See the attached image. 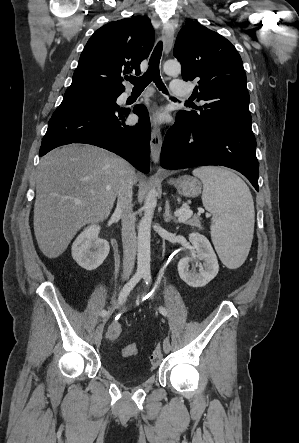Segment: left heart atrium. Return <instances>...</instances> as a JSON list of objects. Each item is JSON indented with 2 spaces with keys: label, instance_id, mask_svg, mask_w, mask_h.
I'll list each match as a JSON object with an SVG mask.
<instances>
[{
  "label": "left heart atrium",
  "instance_id": "39dd6f15",
  "mask_svg": "<svg viewBox=\"0 0 299 443\" xmlns=\"http://www.w3.org/2000/svg\"><path fill=\"white\" fill-rule=\"evenodd\" d=\"M154 122H161L164 119V115L162 113L154 114L152 117Z\"/></svg>",
  "mask_w": 299,
  "mask_h": 443
}]
</instances>
